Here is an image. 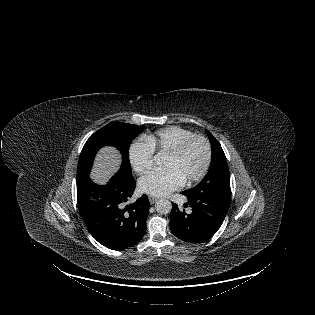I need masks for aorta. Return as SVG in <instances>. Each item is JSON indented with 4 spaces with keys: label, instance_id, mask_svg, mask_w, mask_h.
Listing matches in <instances>:
<instances>
[{
    "label": "aorta",
    "instance_id": "obj_1",
    "mask_svg": "<svg viewBox=\"0 0 315 315\" xmlns=\"http://www.w3.org/2000/svg\"><path fill=\"white\" fill-rule=\"evenodd\" d=\"M156 211L160 214H169L172 209V204L167 199H160L155 204Z\"/></svg>",
    "mask_w": 315,
    "mask_h": 315
}]
</instances>
